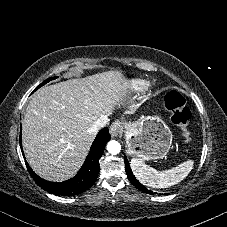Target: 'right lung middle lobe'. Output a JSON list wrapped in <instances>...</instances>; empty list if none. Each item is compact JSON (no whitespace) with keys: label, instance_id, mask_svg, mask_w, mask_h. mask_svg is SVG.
<instances>
[{"label":"right lung middle lobe","instance_id":"obj_1","mask_svg":"<svg viewBox=\"0 0 227 227\" xmlns=\"http://www.w3.org/2000/svg\"><path fill=\"white\" fill-rule=\"evenodd\" d=\"M55 78H57V77H52V78H49V79H47V80H45L43 83H41L35 90H37L38 88H40L41 86H43L44 84H46L47 82H49V81H51V80H53V79H55Z\"/></svg>","mask_w":227,"mask_h":227}]
</instances>
